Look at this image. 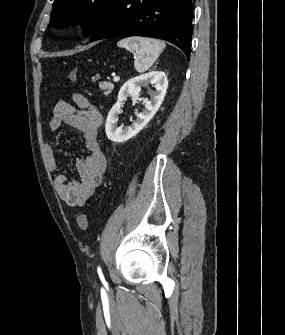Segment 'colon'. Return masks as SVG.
Instances as JSON below:
<instances>
[{"label":"colon","instance_id":"1","mask_svg":"<svg viewBox=\"0 0 285 335\" xmlns=\"http://www.w3.org/2000/svg\"><path fill=\"white\" fill-rule=\"evenodd\" d=\"M68 77L72 82H76L77 70L75 68L71 69L68 73ZM76 222L81 230H86L88 228V218L86 214L84 213L79 214L76 218Z\"/></svg>","mask_w":285,"mask_h":335}]
</instances>
